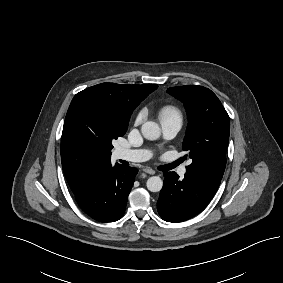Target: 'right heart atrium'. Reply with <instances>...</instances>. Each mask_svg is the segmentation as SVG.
Segmentation results:
<instances>
[{
    "instance_id": "d8ad5b80",
    "label": "right heart atrium",
    "mask_w": 283,
    "mask_h": 283,
    "mask_svg": "<svg viewBox=\"0 0 283 283\" xmlns=\"http://www.w3.org/2000/svg\"><path fill=\"white\" fill-rule=\"evenodd\" d=\"M143 118H144V113H143V111H140V112L136 115L134 124H135V125L140 124V123L143 121Z\"/></svg>"
}]
</instances>
